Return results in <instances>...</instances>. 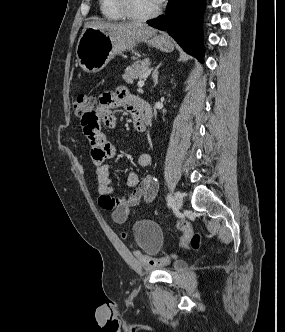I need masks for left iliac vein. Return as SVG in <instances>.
I'll return each instance as SVG.
<instances>
[{
    "label": "left iliac vein",
    "mask_w": 285,
    "mask_h": 332,
    "mask_svg": "<svg viewBox=\"0 0 285 332\" xmlns=\"http://www.w3.org/2000/svg\"><path fill=\"white\" fill-rule=\"evenodd\" d=\"M173 204L177 210H180L183 205V196L181 192L176 191L174 194Z\"/></svg>",
    "instance_id": "4c4485c4"
}]
</instances>
